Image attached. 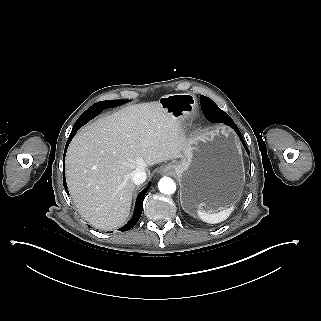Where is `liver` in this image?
<instances>
[{"mask_svg":"<svg viewBox=\"0 0 321 321\" xmlns=\"http://www.w3.org/2000/svg\"><path fill=\"white\" fill-rule=\"evenodd\" d=\"M179 119L159 102L129 104L82 127L70 143L66 181L79 214L93 227L123 226L135 184L130 173L181 158Z\"/></svg>","mask_w":321,"mask_h":321,"instance_id":"obj_1","label":"liver"}]
</instances>
